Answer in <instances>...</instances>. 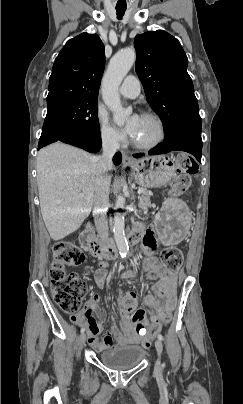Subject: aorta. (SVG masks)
Wrapping results in <instances>:
<instances>
[{"mask_svg": "<svg viewBox=\"0 0 243 404\" xmlns=\"http://www.w3.org/2000/svg\"><path fill=\"white\" fill-rule=\"evenodd\" d=\"M135 60L136 52L134 48H124V50H120V52H117V54L111 58L107 72H105L102 80V100H104L105 106L113 112V120L117 126H124L127 118L132 114L131 108L130 110L129 108L128 110L122 108L118 90L123 78H125L126 74L131 70ZM113 215L112 230L114 240L120 256L126 258L129 246L125 236L124 218L126 217V210L125 198H123V196H118Z\"/></svg>", "mask_w": 243, "mask_h": 404, "instance_id": "aorta-1", "label": "aorta"}]
</instances>
